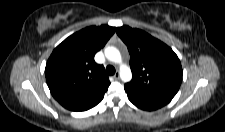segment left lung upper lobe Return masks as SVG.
Here are the masks:
<instances>
[{"label": "left lung upper lobe", "instance_id": "1", "mask_svg": "<svg viewBox=\"0 0 225 132\" xmlns=\"http://www.w3.org/2000/svg\"><path fill=\"white\" fill-rule=\"evenodd\" d=\"M130 53L132 80L128 92L146 97L172 99L182 82V67L173 50L160 40L128 26L116 28Z\"/></svg>", "mask_w": 225, "mask_h": 132}]
</instances>
